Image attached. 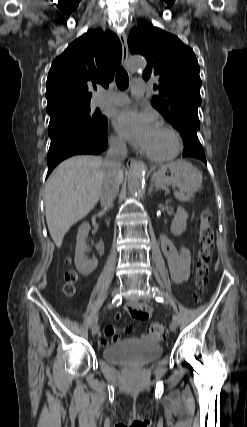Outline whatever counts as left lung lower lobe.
Instances as JSON below:
<instances>
[{"mask_svg":"<svg viewBox=\"0 0 247 427\" xmlns=\"http://www.w3.org/2000/svg\"><path fill=\"white\" fill-rule=\"evenodd\" d=\"M180 134L184 139V157L196 158L206 164L204 149L198 139L197 132L191 129H182Z\"/></svg>","mask_w":247,"mask_h":427,"instance_id":"left-lung-lower-lobe-1","label":"left lung lower lobe"}]
</instances>
